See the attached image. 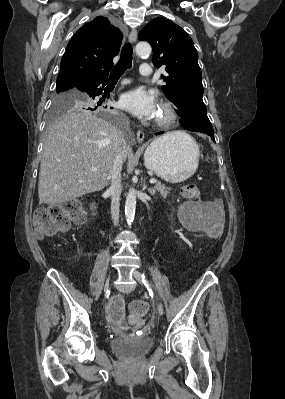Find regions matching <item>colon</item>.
<instances>
[{"label": "colon", "instance_id": "1", "mask_svg": "<svg viewBox=\"0 0 285 399\" xmlns=\"http://www.w3.org/2000/svg\"><path fill=\"white\" fill-rule=\"evenodd\" d=\"M183 197L197 199L200 197V188L196 184H187L181 189ZM85 218V212L78 200L72 199L61 204L37 209L32 216L33 228L45 236H53L58 232L66 231L73 223ZM222 224H218L210 231L209 237L216 240L220 237ZM148 311L147 305L141 299L132 301L130 312L137 320H142Z\"/></svg>", "mask_w": 285, "mask_h": 399}]
</instances>
